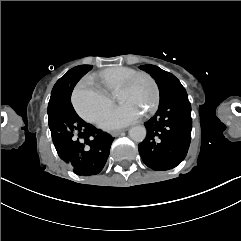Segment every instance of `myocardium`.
I'll return each mask as SVG.
<instances>
[{
    "mask_svg": "<svg viewBox=\"0 0 241 241\" xmlns=\"http://www.w3.org/2000/svg\"><path fill=\"white\" fill-rule=\"evenodd\" d=\"M144 75H145V73L142 72V71H138V72L134 71V72H132V73L125 74V75L122 77V79H121V86L124 88V87H126V86L131 82V81H130L131 79L133 80V79H135L137 76H144ZM119 93H120L119 96L122 98L124 91L121 89V90L119 91Z\"/></svg>",
    "mask_w": 241,
    "mask_h": 241,
    "instance_id": "obj_1",
    "label": "myocardium"
}]
</instances>
